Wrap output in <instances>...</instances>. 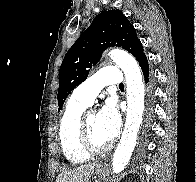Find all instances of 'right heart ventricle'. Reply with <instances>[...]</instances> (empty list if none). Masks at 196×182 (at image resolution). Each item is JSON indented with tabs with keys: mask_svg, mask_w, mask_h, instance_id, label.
Instances as JSON below:
<instances>
[{
	"mask_svg": "<svg viewBox=\"0 0 196 182\" xmlns=\"http://www.w3.org/2000/svg\"><path fill=\"white\" fill-rule=\"evenodd\" d=\"M87 106L70 98L61 116L58 128L59 142L65 158L72 164H81L88 160L85 153L77 142L78 120Z\"/></svg>",
	"mask_w": 196,
	"mask_h": 182,
	"instance_id": "e07e8e85",
	"label": "right heart ventricle"
}]
</instances>
